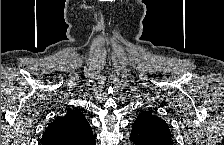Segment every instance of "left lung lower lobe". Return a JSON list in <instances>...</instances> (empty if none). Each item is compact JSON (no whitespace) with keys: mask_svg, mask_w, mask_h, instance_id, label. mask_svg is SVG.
<instances>
[{"mask_svg":"<svg viewBox=\"0 0 224 145\" xmlns=\"http://www.w3.org/2000/svg\"><path fill=\"white\" fill-rule=\"evenodd\" d=\"M130 140L136 145H172L152 129L149 119L139 115L132 125Z\"/></svg>","mask_w":224,"mask_h":145,"instance_id":"obj_1","label":"left lung lower lobe"}]
</instances>
